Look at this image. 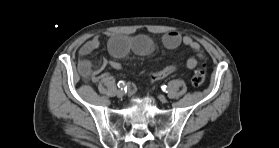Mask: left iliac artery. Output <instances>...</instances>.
Wrapping results in <instances>:
<instances>
[{
  "instance_id": "44dca946",
  "label": "left iliac artery",
  "mask_w": 279,
  "mask_h": 148,
  "mask_svg": "<svg viewBox=\"0 0 279 148\" xmlns=\"http://www.w3.org/2000/svg\"><path fill=\"white\" fill-rule=\"evenodd\" d=\"M162 91L167 92L168 91V87L166 85L161 86Z\"/></svg>"
}]
</instances>
